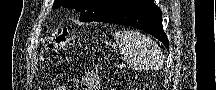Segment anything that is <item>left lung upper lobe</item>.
Masks as SVG:
<instances>
[{"instance_id": "5c2ea615", "label": "left lung upper lobe", "mask_w": 216, "mask_h": 90, "mask_svg": "<svg viewBox=\"0 0 216 90\" xmlns=\"http://www.w3.org/2000/svg\"><path fill=\"white\" fill-rule=\"evenodd\" d=\"M128 0H55L53 8L60 6L81 12V22H92L104 13L124 5Z\"/></svg>"}]
</instances>
